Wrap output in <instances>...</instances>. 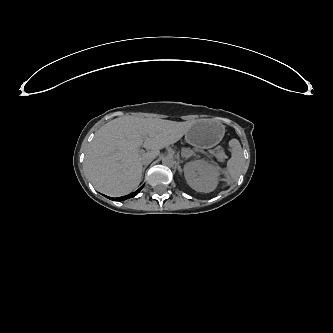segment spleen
Listing matches in <instances>:
<instances>
[{
  "mask_svg": "<svg viewBox=\"0 0 333 333\" xmlns=\"http://www.w3.org/2000/svg\"><path fill=\"white\" fill-rule=\"evenodd\" d=\"M235 166V162H233L232 164H229L230 168H233Z\"/></svg>",
  "mask_w": 333,
  "mask_h": 333,
  "instance_id": "3e777b00",
  "label": "spleen"
}]
</instances>
